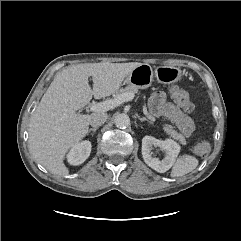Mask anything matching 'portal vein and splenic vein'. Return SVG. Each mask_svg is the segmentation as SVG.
Listing matches in <instances>:
<instances>
[{
    "label": "portal vein and splenic vein",
    "mask_w": 241,
    "mask_h": 241,
    "mask_svg": "<svg viewBox=\"0 0 241 241\" xmlns=\"http://www.w3.org/2000/svg\"><path fill=\"white\" fill-rule=\"evenodd\" d=\"M134 97H135L134 93H122L114 99H109L100 103L91 104L89 107V110L93 112H105L119 106L124 102L131 101ZM143 110L147 112L146 107H144Z\"/></svg>",
    "instance_id": "portal-vein-and-splenic-vein-1"
}]
</instances>
